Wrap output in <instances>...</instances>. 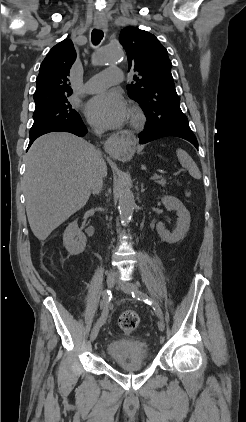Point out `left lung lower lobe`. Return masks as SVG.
I'll return each mask as SVG.
<instances>
[{"instance_id": "0a47b994", "label": "left lung lower lobe", "mask_w": 246, "mask_h": 422, "mask_svg": "<svg viewBox=\"0 0 246 422\" xmlns=\"http://www.w3.org/2000/svg\"><path fill=\"white\" fill-rule=\"evenodd\" d=\"M168 136L183 138L191 142L198 149L197 139L190 129L189 124H168L154 128L146 127L145 130L139 134V143L145 144Z\"/></svg>"}]
</instances>
